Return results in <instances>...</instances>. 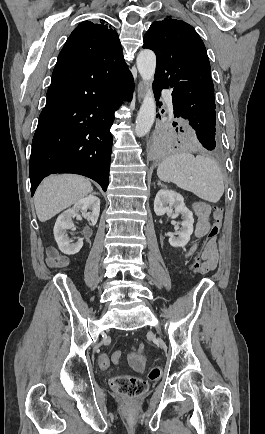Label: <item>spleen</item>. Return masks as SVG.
<instances>
[{"label":"spleen","mask_w":265,"mask_h":434,"mask_svg":"<svg viewBox=\"0 0 265 434\" xmlns=\"http://www.w3.org/2000/svg\"><path fill=\"white\" fill-rule=\"evenodd\" d=\"M157 176L162 182H173L178 188L193 192L206 202H219L224 194L223 174L215 160L190 152L173 154L158 166Z\"/></svg>","instance_id":"obj_1"}]
</instances>
